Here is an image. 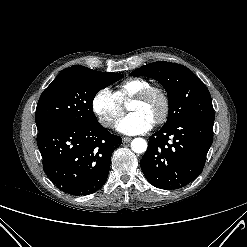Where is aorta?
<instances>
[{
  "mask_svg": "<svg viewBox=\"0 0 247 247\" xmlns=\"http://www.w3.org/2000/svg\"><path fill=\"white\" fill-rule=\"evenodd\" d=\"M131 148L135 153H144L147 150V142L143 138H135L131 142Z\"/></svg>",
  "mask_w": 247,
  "mask_h": 247,
  "instance_id": "762f6f07",
  "label": "aorta"
}]
</instances>
